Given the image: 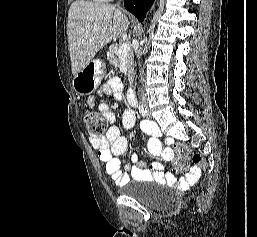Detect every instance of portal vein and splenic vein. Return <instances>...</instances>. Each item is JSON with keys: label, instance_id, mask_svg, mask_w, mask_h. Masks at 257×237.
Returning a JSON list of instances; mask_svg holds the SVG:
<instances>
[{"label": "portal vein and splenic vein", "instance_id": "1", "mask_svg": "<svg viewBox=\"0 0 257 237\" xmlns=\"http://www.w3.org/2000/svg\"><path fill=\"white\" fill-rule=\"evenodd\" d=\"M130 50V45L128 43H123L119 49V54H126Z\"/></svg>", "mask_w": 257, "mask_h": 237}]
</instances>
